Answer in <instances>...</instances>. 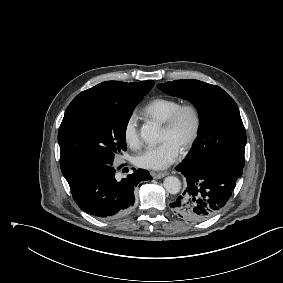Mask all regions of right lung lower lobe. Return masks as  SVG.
Returning a JSON list of instances; mask_svg holds the SVG:
<instances>
[{"instance_id": "98d812e1", "label": "right lung lower lobe", "mask_w": 283, "mask_h": 283, "mask_svg": "<svg viewBox=\"0 0 283 283\" xmlns=\"http://www.w3.org/2000/svg\"><path fill=\"white\" fill-rule=\"evenodd\" d=\"M116 180L112 165L88 166L66 177L74 201L86 213L99 218H113L129 212L134 203V189L140 181L152 177L144 169Z\"/></svg>"}]
</instances>
